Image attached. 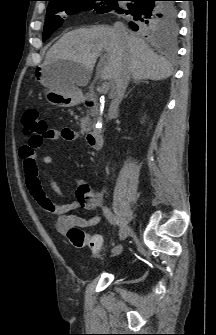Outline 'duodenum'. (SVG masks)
I'll return each mask as SVG.
<instances>
[{
    "label": "duodenum",
    "instance_id": "duodenum-1",
    "mask_svg": "<svg viewBox=\"0 0 216 335\" xmlns=\"http://www.w3.org/2000/svg\"><path fill=\"white\" fill-rule=\"evenodd\" d=\"M85 104L88 107H94L96 102L88 98ZM87 142L92 149L99 150L102 147V136L99 129L94 128L87 133Z\"/></svg>",
    "mask_w": 216,
    "mask_h": 335
}]
</instances>
